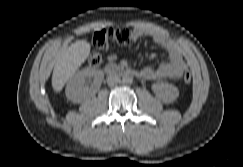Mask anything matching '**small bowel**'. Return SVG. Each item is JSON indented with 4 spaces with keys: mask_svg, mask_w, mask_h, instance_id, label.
Returning <instances> with one entry per match:
<instances>
[{
    "mask_svg": "<svg viewBox=\"0 0 243 167\" xmlns=\"http://www.w3.org/2000/svg\"><path fill=\"white\" fill-rule=\"evenodd\" d=\"M147 37L151 39L156 45L161 47L168 54L169 60L162 62L157 67L146 66L141 72L144 79L147 80H160V79H179L183 73L188 69V64L181 47L174 41L169 39L163 33L150 30L143 27H137L133 30V39L135 41ZM117 59L115 54L108 56V62L114 63Z\"/></svg>",
    "mask_w": 243,
    "mask_h": 167,
    "instance_id": "small-bowel-1",
    "label": "small bowel"
}]
</instances>
